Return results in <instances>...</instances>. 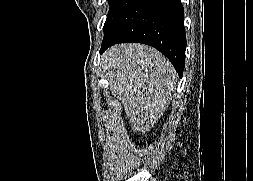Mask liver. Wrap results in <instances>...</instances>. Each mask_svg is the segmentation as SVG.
I'll return each instance as SVG.
<instances>
[{
    "label": "liver",
    "mask_w": 253,
    "mask_h": 181,
    "mask_svg": "<svg viewBox=\"0 0 253 181\" xmlns=\"http://www.w3.org/2000/svg\"><path fill=\"white\" fill-rule=\"evenodd\" d=\"M112 95L119 99L134 132L154 127L170 104L177 74L166 57L142 44H119L101 57Z\"/></svg>",
    "instance_id": "liver-1"
}]
</instances>
